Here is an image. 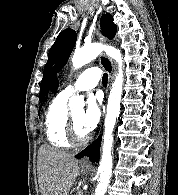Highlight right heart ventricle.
<instances>
[{
	"instance_id": "e07e8e85",
	"label": "right heart ventricle",
	"mask_w": 178,
	"mask_h": 195,
	"mask_svg": "<svg viewBox=\"0 0 178 195\" xmlns=\"http://www.w3.org/2000/svg\"><path fill=\"white\" fill-rule=\"evenodd\" d=\"M68 98L62 93L57 94L45 114V135L50 144L56 148H69L71 146L66 137Z\"/></svg>"
}]
</instances>
